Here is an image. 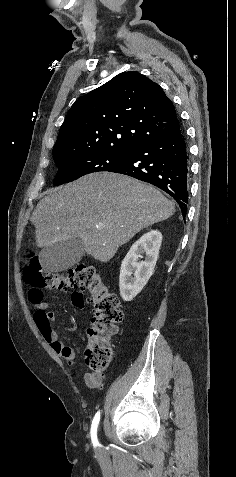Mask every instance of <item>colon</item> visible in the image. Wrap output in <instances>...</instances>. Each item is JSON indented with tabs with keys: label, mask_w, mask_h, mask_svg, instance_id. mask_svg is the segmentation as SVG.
<instances>
[{
	"label": "colon",
	"mask_w": 236,
	"mask_h": 477,
	"mask_svg": "<svg viewBox=\"0 0 236 477\" xmlns=\"http://www.w3.org/2000/svg\"><path fill=\"white\" fill-rule=\"evenodd\" d=\"M23 279L31 302L41 301L47 289L71 288L90 294L94 311L87 333L85 362L93 372L105 371L114 356L110 340L123 320V311L99 271L94 266L78 264L66 273H54L44 269L40 259L32 255L24 266Z\"/></svg>",
	"instance_id": "obj_1"
}]
</instances>
